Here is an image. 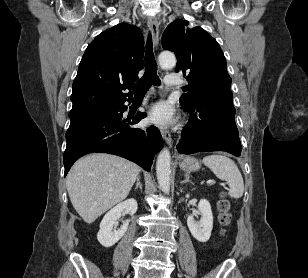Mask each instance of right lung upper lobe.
Masks as SVG:
<instances>
[{"mask_svg": "<svg viewBox=\"0 0 308 278\" xmlns=\"http://www.w3.org/2000/svg\"><path fill=\"white\" fill-rule=\"evenodd\" d=\"M143 54L144 38L135 26L121 23L99 34L81 59L69 117L131 100V92L122 90L138 80L144 68Z\"/></svg>", "mask_w": 308, "mask_h": 278, "instance_id": "cb5924a9", "label": "right lung upper lobe"}]
</instances>
